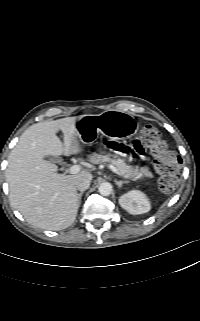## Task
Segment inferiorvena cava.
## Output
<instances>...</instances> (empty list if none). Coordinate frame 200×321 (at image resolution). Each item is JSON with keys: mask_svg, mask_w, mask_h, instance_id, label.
Wrapping results in <instances>:
<instances>
[{"mask_svg": "<svg viewBox=\"0 0 200 321\" xmlns=\"http://www.w3.org/2000/svg\"><path fill=\"white\" fill-rule=\"evenodd\" d=\"M75 185L79 191H85L90 186V180L88 178L82 177L76 181Z\"/></svg>", "mask_w": 200, "mask_h": 321, "instance_id": "602c4592", "label": "inferior vena cava"}]
</instances>
